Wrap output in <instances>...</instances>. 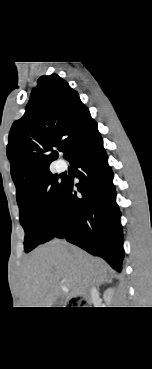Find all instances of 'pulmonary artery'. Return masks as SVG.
Wrapping results in <instances>:
<instances>
[{"label": "pulmonary artery", "instance_id": "1", "mask_svg": "<svg viewBox=\"0 0 152 369\" xmlns=\"http://www.w3.org/2000/svg\"><path fill=\"white\" fill-rule=\"evenodd\" d=\"M65 168H66V165H65L64 162H58L57 163V169H58V171H64Z\"/></svg>", "mask_w": 152, "mask_h": 369}]
</instances>
